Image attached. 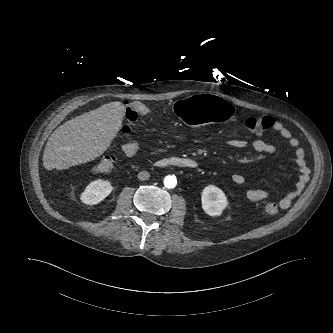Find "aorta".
Listing matches in <instances>:
<instances>
[{
	"label": "aorta",
	"mask_w": 333,
	"mask_h": 333,
	"mask_svg": "<svg viewBox=\"0 0 333 333\" xmlns=\"http://www.w3.org/2000/svg\"><path fill=\"white\" fill-rule=\"evenodd\" d=\"M177 184V180L174 176H166L164 179V185L167 188H174Z\"/></svg>",
	"instance_id": "aorta-1"
}]
</instances>
